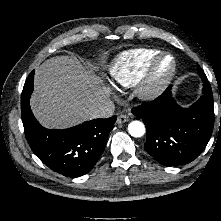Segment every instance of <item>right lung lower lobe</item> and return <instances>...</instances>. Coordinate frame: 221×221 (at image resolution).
<instances>
[{
	"mask_svg": "<svg viewBox=\"0 0 221 221\" xmlns=\"http://www.w3.org/2000/svg\"><path fill=\"white\" fill-rule=\"evenodd\" d=\"M34 71L27 78L21 96V116L27 141L36 156L50 169L68 177L88 173L104 151L116 116L95 119L65 130L42 127L33 116L29 99Z\"/></svg>",
	"mask_w": 221,
	"mask_h": 221,
	"instance_id": "obj_1",
	"label": "right lung lower lobe"
}]
</instances>
